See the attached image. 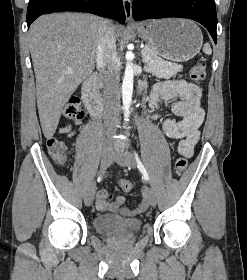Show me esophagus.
<instances>
[{
	"label": "esophagus",
	"mask_w": 247,
	"mask_h": 280,
	"mask_svg": "<svg viewBox=\"0 0 247 280\" xmlns=\"http://www.w3.org/2000/svg\"><path fill=\"white\" fill-rule=\"evenodd\" d=\"M123 7L125 11V18L127 21L132 20V1L131 0H123Z\"/></svg>",
	"instance_id": "obj_1"
}]
</instances>
